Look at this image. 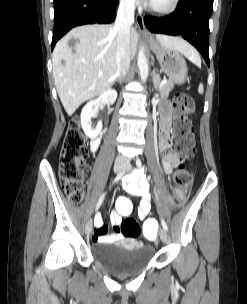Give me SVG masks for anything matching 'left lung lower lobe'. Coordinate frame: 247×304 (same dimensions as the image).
I'll use <instances>...</instances> for the list:
<instances>
[{
    "label": "left lung lower lobe",
    "mask_w": 247,
    "mask_h": 304,
    "mask_svg": "<svg viewBox=\"0 0 247 304\" xmlns=\"http://www.w3.org/2000/svg\"><path fill=\"white\" fill-rule=\"evenodd\" d=\"M213 0H179L176 10L166 17H145L154 33L180 35L193 44L209 66V19Z\"/></svg>",
    "instance_id": "left-lung-lower-lobe-1"
}]
</instances>
